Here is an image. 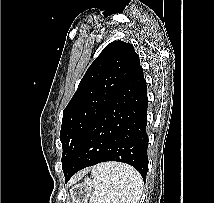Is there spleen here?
Returning <instances> with one entry per match:
<instances>
[{"label": "spleen", "instance_id": "1", "mask_svg": "<svg viewBox=\"0 0 214 203\" xmlns=\"http://www.w3.org/2000/svg\"><path fill=\"white\" fill-rule=\"evenodd\" d=\"M91 174L95 186L90 203H139L143 181L133 167L107 162L93 167Z\"/></svg>", "mask_w": 214, "mask_h": 203}]
</instances>
